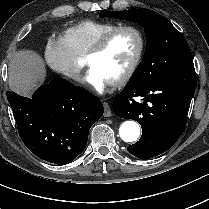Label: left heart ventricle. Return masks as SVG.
<instances>
[{
    "label": "left heart ventricle",
    "mask_w": 209,
    "mask_h": 209,
    "mask_svg": "<svg viewBox=\"0 0 209 209\" xmlns=\"http://www.w3.org/2000/svg\"><path fill=\"white\" fill-rule=\"evenodd\" d=\"M138 50V39L132 31L115 34L106 49L88 59L87 64L99 69L111 82L120 78L134 59Z\"/></svg>",
    "instance_id": "left-heart-ventricle-1"
}]
</instances>
